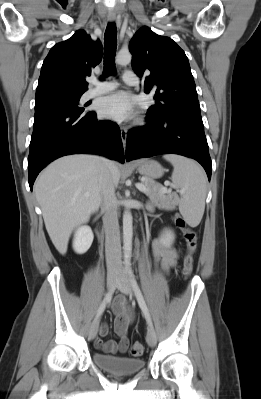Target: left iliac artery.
Segmentation results:
<instances>
[{
  "mask_svg": "<svg viewBox=\"0 0 261 399\" xmlns=\"http://www.w3.org/2000/svg\"><path fill=\"white\" fill-rule=\"evenodd\" d=\"M129 274H130L131 284H132L133 290L135 292L138 304H139V306H140V308H141V310H142V312H143L148 324L152 325V320H151V317H150V313H149L148 307L146 305V302L144 300L143 294H142V292H141V290H140V288H139V286H138V284H137V282H136V280L134 278V275H133L131 270L129 271Z\"/></svg>",
  "mask_w": 261,
  "mask_h": 399,
  "instance_id": "44dca946",
  "label": "left iliac artery"
}]
</instances>
